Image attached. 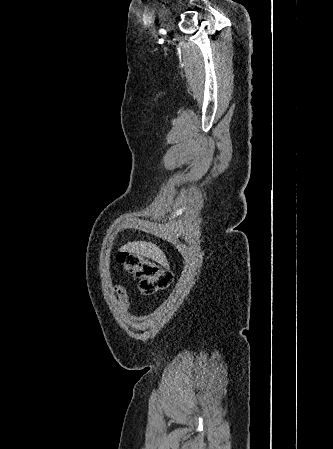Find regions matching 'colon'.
<instances>
[{
  "mask_svg": "<svg viewBox=\"0 0 333 449\" xmlns=\"http://www.w3.org/2000/svg\"><path fill=\"white\" fill-rule=\"evenodd\" d=\"M117 262L139 281V289L146 295L169 287L173 282V274L162 268L157 262L130 251H120Z\"/></svg>",
  "mask_w": 333,
  "mask_h": 449,
  "instance_id": "obj_1",
  "label": "colon"
}]
</instances>
